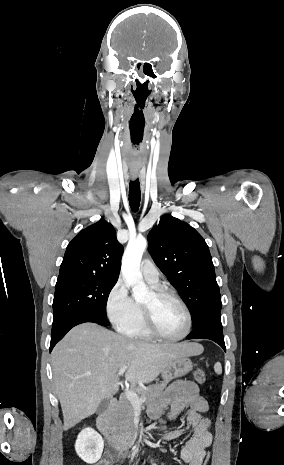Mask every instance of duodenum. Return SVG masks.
Listing matches in <instances>:
<instances>
[{
    "label": "duodenum",
    "instance_id": "410a0bca",
    "mask_svg": "<svg viewBox=\"0 0 284 465\" xmlns=\"http://www.w3.org/2000/svg\"><path fill=\"white\" fill-rule=\"evenodd\" d=\"M117 406V400H109L107 405L98 414L95 424L97 429L113 448L125 451V449L140 441L143 433L140 429L120 432L114 427L111 419L112 413Z\"/></svg>",
    "mask_w": 284,
    "mask_h": 465
}]
</instances>
